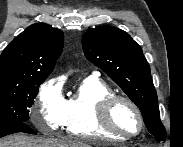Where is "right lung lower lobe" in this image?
Masks as SVG:
<instances>
[{
	"label": "right lung lower lobe",
	"instance_id": "1",
	"mask_svg": "<svg viewBox=\"0 0 183 147\" xmlns=\"http://www.w3.org/2000/svg\"><path fill=\"white\" fill-rule=\"evenodd\" d=\"M16 132H24V133H29V134H36L31 128L27 126L26 123H18V124H13L9 125L6 127H3L0 130V138L12 133Z\"/></svg>",
	"mask_w": 183,
	"mask_h": 147
}]
</instances>
